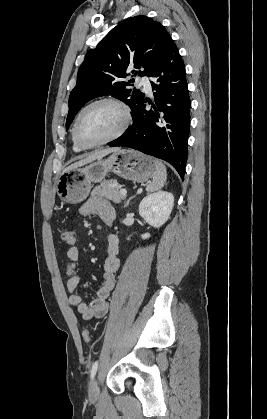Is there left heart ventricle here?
Instances as JSON below:
<instances>
[{
  "mask_svg": "<svg viewBox=\"0 0 267 419\" xmlns=\"http://www.w3.org/2000/svg\"><path fill=\"white\" fill-rule=\"evenodd\" d=\"M121 122L122 115L116 106L109 103L92 106L80 120L79 138L85 144H94L114 133Z\"/></svg>",
  "mask_w": 267,
  "mask_h": 419,
  "instance_id": "1",
  "label": "left heart ventricle"
}]
</instances>
